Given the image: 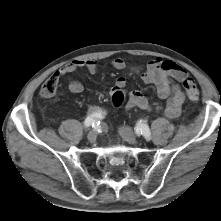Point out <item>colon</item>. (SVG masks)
Returning a JSON list of instances; mask_svg holds the SVG:
<instances>
[{"instance_id": "1", "label": "colon", "mask_w": 221, "mask_h": 221, "mask_svg": "<svg viewBox=\"0 0 221 221\" xmlns=\"http://www.w3.org/2000/svg\"><path fill=\"white\" fill-rule=\"evenodd\" d=\"M59 79L55 76L47 78L40 87L39 94L42 98H50L54 96L58 91ZM183 86L185 88L186 94L189 100L196 104L199 101V93L195 82L192 78L186 77L183 80ZM125 99V93L122 89L115 90L111 95V102L115 108H118L122 105Z\"/></svg>"}]
</instances>
